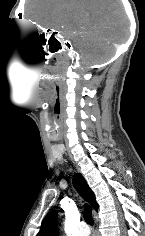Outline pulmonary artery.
Here are the masks:
<instances>
[{"mask_svg":"<svg viewBox=\"0 0 145 236\" xmlns=\"http://www.w3.org/2000/svg\"><path fill=\"white\" fill-rule=\"evenodd\" d=\"M90 229L85 222H82L78 227V236H89Z\"/></svg>","mask_w":145,"mask_h":236,"instance_id":"e3ab8cb5","label":"pulmonary artery"}]
</instances>
